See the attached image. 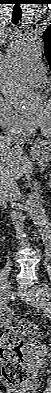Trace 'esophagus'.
<instances>
[{"mask_svg":"<svg viewBox=\"0 0 51 393\" xmlns=\"http://www.w3.org/2000/svg\"><path fill=\"white\" fill-rule=\"evenodd\" d=\"M38 149H39V146L35 144V145L31 148V152H32V153H35V152L38 151Z\"/></svg>","mask_w":51,"mask_h":393,"instance_id":"obj_1","label":"esophagus"}]
</instances>
